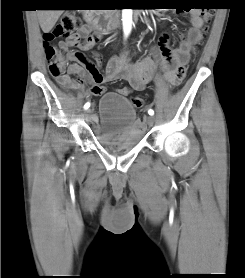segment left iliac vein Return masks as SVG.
<instances>
[{"instance_id": "obj_1", "label": "left iliac vein", "mask_w": 245, "mask_h": 278, "mask_svg": "<svg viewBox=\"0 0 245 278\" xmlns=\"http://www.w3.org/2000/svg\"><path fill=\"white\" fill-rule=\"evenodd\" d=\"M154 121H155V119H154L153 116L146 117V123H147L148 126H153Z\"/></svg>"}]
</instances>
